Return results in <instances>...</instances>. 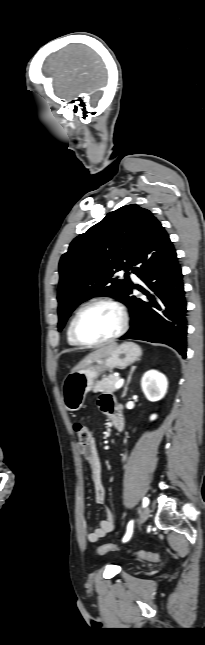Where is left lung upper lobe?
<instances>
[{
    "mask_svg": "<svg viewBox=\"0 0 205 645\" xmlns=\"http://www.w3.org/2000/svg\"><path fill=\"white\" fill-rule=\"evenodd\" d=\"M154 219L149 210L126 205L72 241L59 263V331L72 311L92 297L112 295L124 300L131 284L129 273L123 280L114 274L130 270L137 246Z\"/></svg>",
    "mask_w": 205,
    "mask_h": 645,
    "instance_id": "obj_1",
    "label": "left lung upper lobe"
}]
</instances>
